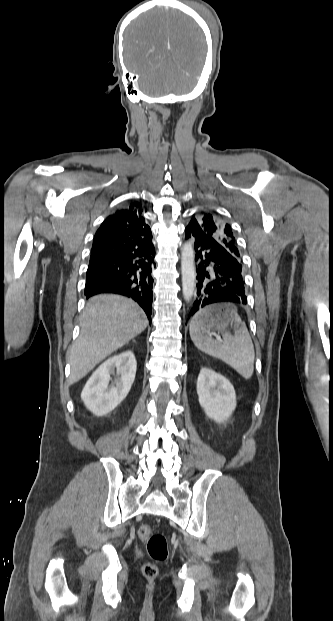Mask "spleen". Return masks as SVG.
I'll use <instances>...</instances> for the list:
<instances>
[{"label": "spleen", "instance_id": "1", "mask_svg": "<svg viewBox=\"0 0 333 621\" xmlns=\"http://www.w3.org/2000/svg\"><path fill=\"white\" fill-rule=\"evenodd\" d=\"M207 314L208 308L200 310L190 322V337L194 345L203 353L232 367L243 378H251L254 372L255 351L246 325L242 323L240 317L235 319L234 335L225 326L218 327L217 330L223 336V342L220 343L205 335L203 317Z\"/></svg>", "mask_w": 333, "mask_h": 621}]
</instances>
